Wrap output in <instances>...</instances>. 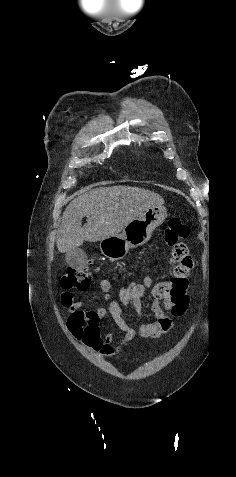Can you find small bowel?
<instances>
[{
    "instance_id": "1",
    "label": "small bowel",
    "mask_w": 236,
    "mask_h": 477,
    "mask_svg": "<svg viewBox=\"0 0 236 477\" xmlns=\"http://www.w3.org/2000/svg\"><path fill=\"white\" fill-rule=\"evenodd\" d=\"M174 275L170 281L155 284L150 276H146L141 283L130 282L118 290L120 301L111 299L112 284L109 279L103 278L99 282L103 298L108 302L107 307L95 310L83 309V304L75 302L70 292L61 296V304L69 313L67 328L74 339L80 341L107 358L118 357L124 347L135 338L158 339L170 332L174 326V318L182 317L189 306L187 292V274L191 271L193 261L185 257L175 261ZM146 289H151L153 301L150 311L154 316L151 322H142L138 329L130 326L124 314L123 306L131 308L135 313H143V297ZM110 317L124 333V340L114 348L113 335L101 336L100 321Z\"/></svg>"
}]
</instances>
